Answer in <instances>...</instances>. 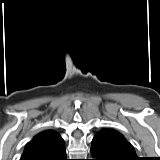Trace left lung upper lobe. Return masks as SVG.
I'll return each mask as SVG.
<instances>
[{"label":"left lung upper lobe","instance_id":"obj_1","mask_svg":"<svg viewBox=\"0 0 160 160\" xmlns=\"http://www.w3.org/2000/svg\"><path fill=\"white\" fill-rule=\"evenodd\" d=\"M97 134L103 136L110 146L118 151V153L126 160H140L139 157H137L133 146L118 131L103 128Z\"/></svg>","mask_w":160,"mask_h":160}]
</instances>
